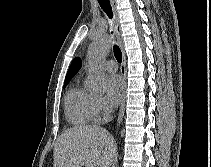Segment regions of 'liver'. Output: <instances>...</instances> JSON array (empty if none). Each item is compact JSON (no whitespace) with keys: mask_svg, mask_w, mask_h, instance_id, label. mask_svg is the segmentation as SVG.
<instances>
[{"mask_svg":"<svg viewBox=\"0 0 211 167\" xmlns=\"http://www.w3.org/2000/svg\"><path fill=\"white\" fill-rule=\"evenodd\" d=\"M116 150L113 137L100 126L70 128L57 139L53 167H110Z\"/></svg>","mask_w":211,"mask_h":167,"instance_id":"1","label":"liver"}]
</instances>
